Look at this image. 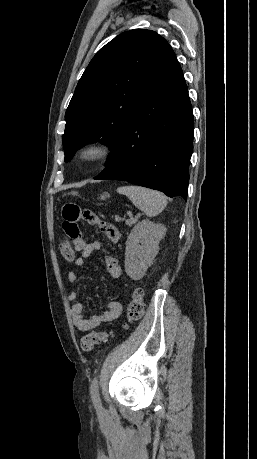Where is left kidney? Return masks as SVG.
Instances as JSON below:
<instances>
[{
  "mask_svg": "<svg viewBox=\"0 0 257 459\" xmlns=\"http://www.w3.org/2000/svg\"><path fill=\"white\" fill-rule=\"evenodd\" d=\"M166 227L149 220L138 222L126 241L125 272L133 280H140L159 251V242Z\"/></svg>",
  "mask_w": 257,
  "mask_h": 459,
  "instance_id": "1",
  "label": "left kidney"
}]
</instances>
